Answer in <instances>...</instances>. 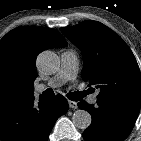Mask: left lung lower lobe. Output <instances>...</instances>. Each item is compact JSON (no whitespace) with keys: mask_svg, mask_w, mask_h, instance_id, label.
<instances>
[{"mask_svg":"<svg viewBox=\"0 0 141 141\" xmlns=\"http://www.w3.org/2000/svg\"><path fill=\"white\" fill-rule=\"evenodd\" d=\"M92 115L91 125L83 132L86 141H123L130 134L139 113L136 106H117L102 101L78 103Z\"/></svg>","mask_w":141,"mask_h":141,"instance_id":"1","label":"left lung lower lobe"}]
</instances>
